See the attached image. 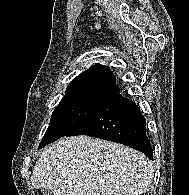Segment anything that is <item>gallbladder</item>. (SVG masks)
Returning <instances> with one entry per match:
<instances>
[{
  "label": "gallbladder",
  "instance_id": "obj_1",
  "mask_svg": "<svg viewBox=\"0 0 189 195\" xmlns=\"http://www.w3.org/2000/svg\"><path fill=\"white\" fill-rule=\"evenodd\" d=\"M41 192H43V195H51L52 192L49 188H42Z\"/></svg>",
  "mask_w": 189,
  "mask_h": 195
}]
</instances>
